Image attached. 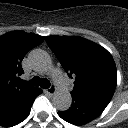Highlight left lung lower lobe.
Wrapping results in <instances>:
<instances>
[{"label": "left lung lower lobe", "instance_id": "left-lung-lower-lobe-1", "mask_svg": "<svg viewBox=\"0 0 128 128\" xmlns=\"http://www.w3.org/2000/svg\"><path fill=\"white\" fill-rule=\"evenodd\" d=\"M73 103L67 111L58 112L65 121L74 125L86 124L97 118L110 101L95 98L73 97Z\"/></svg>", "mask_w": 128, "mask_h": 128}]
</instances>
